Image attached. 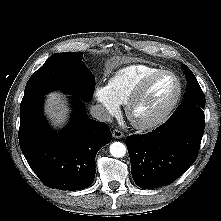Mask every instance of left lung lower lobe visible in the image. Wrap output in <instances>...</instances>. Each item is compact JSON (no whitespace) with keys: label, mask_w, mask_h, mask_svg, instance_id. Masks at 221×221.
<instances>
[{"label":"left lung lower lobe","mask_w":221,"mask_h":221,"mask_svg":"<svg viewBox=\"0 0 221 221\" xmlns=\"http://www.w3.org/2000/svg\"><path fill=\"white\" fill-rule=\"evenodd\" d=\"M204 112L181 104L163 125L126 138L131 172L143 189L171 184L196 160L204 132Z\"/></svg>","instance_id":"1"}]
</instances>
